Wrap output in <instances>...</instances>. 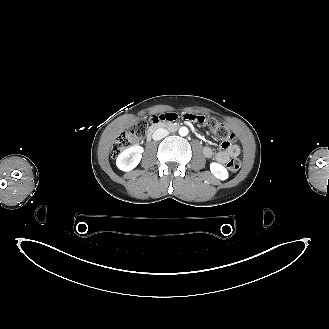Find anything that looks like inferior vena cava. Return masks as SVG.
Wrapping results in <instances>:
<instances>
[{
  "mask_svg": "<svg viewBox=\"0 0 329 329\" xmlns=\"http://www.w3.org/2000/svg\"><path fill=\"white\" fill-rule=\"evenodd\" d=\"M169 134V131L164 129V128H158L157 130L154 131L152 138L155 141H159L166 137Z\"/></svg>",
  "mask_w": 329,
  "mask_h": 329,
  "instance_id": "1",
  "label": "inferior vena cava"
}]
</instances>
